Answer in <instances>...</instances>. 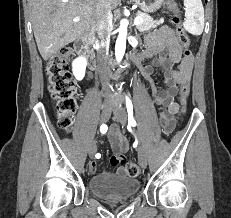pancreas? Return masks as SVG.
<instances>
[{
  "label": "pancreas",
  "instance_id": "pancreas-1",
  "mask_svg": "<svg viewBox=\"0 0 231 218\" xmlns=\"http://www.w3.org/2000/svg\"><path fill=\"white\" fill-rule=\"evenodd\" d=\"M138 15L143 19V21L137 25V28L141 32L148 31L150 29L156 28L158 25L162 24V20H154L151 16L143 13V12H138Z\"/></svg>",
  "mask_w": 231,
  "mask_h": 218
}]
</instances>
